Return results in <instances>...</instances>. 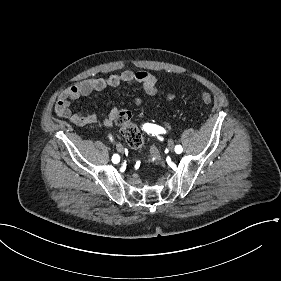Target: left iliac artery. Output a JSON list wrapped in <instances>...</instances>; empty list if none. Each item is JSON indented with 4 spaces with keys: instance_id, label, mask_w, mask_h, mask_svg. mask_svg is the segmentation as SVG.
<instances>
[{
    "instance_id": "left-iliac-artery-1",
    "label": "left iliac artery",
    "mask_w": 281,
    "mask_h": 281,
    "mask_svg": "<svg viewBox=\"0 0 281 281\" xmlns=\"http://www.w3.org/2000/svg\"><path fill=\"white\" fill-rule=\"evenodd\" d=\"M143 129L147 132V133H150V134H153V135H157V134H160V133H165V130L160 127V126H157V125H154V124H144L143 125ZM182 147L181 145H176L175 146V152L176 153H181L182 152Z\"/></svg>"
}]
</instances>
